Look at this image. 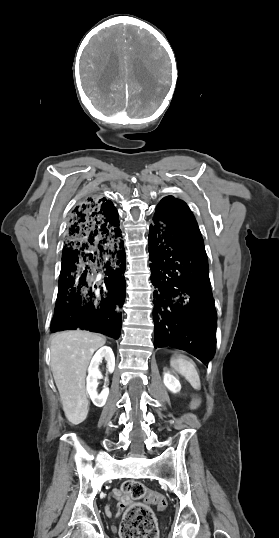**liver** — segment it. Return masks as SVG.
Masks as SVG:
<instances>
[{"label":"liver","mask_w":279,"mask_h":538,"mask_svg":"<svg viewBox=\"0 0 279 538\" xmlns=\"http://www.w3.org/2000/svg\"><path fill=\"white\" fill-rule=\"evenodd\" d=\"M106 344L105 336L67 330L51 340V368L68 422L78 426L88 414L86 370L93 352Z\"/></svg>","instance_id":"1"}]
</instances>
